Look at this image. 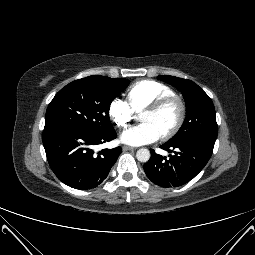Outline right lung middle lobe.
Wrapping results in <instances>:
<instances>
[{"label": "right lung middle lobe", "instance_id": "obj_1", "mask_svg": "<svg viewBox=\"0 0 255 255\" xmlns=\"http://www.w3.org/2000/svg\"><path fill=\"white\" fill-rule=\"evenodd\" d=\"M128 83L127 79L105 76H89L69 83L50 102L44 130L78 128L95 135L114 130L109 119L110 104Z\"/></svg>", "mask_w": 255, "mask_h": 255}]
</instances>
